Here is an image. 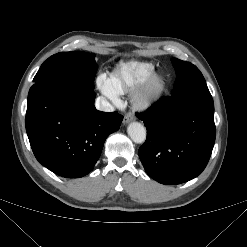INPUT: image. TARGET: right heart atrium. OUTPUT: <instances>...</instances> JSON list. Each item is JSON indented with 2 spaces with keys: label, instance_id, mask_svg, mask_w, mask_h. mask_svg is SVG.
Returning a JSON list of instances; mask_svg holds the SVG:
<instances>
[{
  "label": "right heart atrium",
  "instance_id": "d8ad5b80",
  "mask_svg": "<svg viewBox=\"0 0 247 247\" xmlns=\"http://www.w3.org/2000/svg\"><path fill=\"white\" fill-rule=\"evenodd\" d=\"M97 84L102 93L108 97L112 102L117 103L119 101L118 94L115 93L110 86L108 78L105 75H99L97 78Z\"/></svg>",
  "mask_w": 247,
  "mask_h": 247
}]
</instances>
